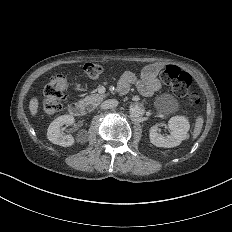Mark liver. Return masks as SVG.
<instances>
[{
  "label": "liver",
  "instance_id": "6515ba94",
  "mask_svg": "<svg viewBox=\"0 0 232 232\" xmlns=\"http://www.w3.org/2000/svg\"><path fill=\"white\" fill-rule=\"evenodd\" d=\"M29 109L31 114L34 116L37 113L38 110V100L37 98H32L29 102Z\"/></svg>",
  "mask_w": 232,
  "mask_h": 232
}]
</instances>
